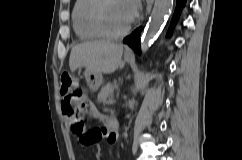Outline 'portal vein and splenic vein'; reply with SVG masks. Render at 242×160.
I'll list each match as a JSON object with an SVG mask.
<instances>
[{
  "instance_id": "18ae733b",
  "label": "portal vein and splenic vein",
  "mask_w": 242,
  "mask_h": 160,
  "mask_svg": "<svg viewBox=\"0 0 242 160\" xmlns=\"http://www.w3.org/2000/svg\"><path fill=\"white\" fill-rule=\"evenodd\" d=\"M115 103V100L114 99H110L109 101H108V104H114Z\"/></svg>"
}]
</instances>
